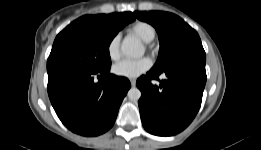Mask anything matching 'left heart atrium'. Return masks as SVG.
Returning <instances> with one entry per match:
<instances>
[{"mask_svg":"<svg viewBox=\"0 0 261 150\" xmlns=\"http://www.w3.org/2000/svg\"><path fill=\"white\" fill-rule=\"evenodd\" d=\"M151 65L152 62L147 57L137 60L125 59L114 65L113 72L121 77L135 79L149 70Z\"/></svg>","mask_w":261,"mask_h":150,"instance_id":"obj_1","label":"left heart atrium"}]
</instances>
